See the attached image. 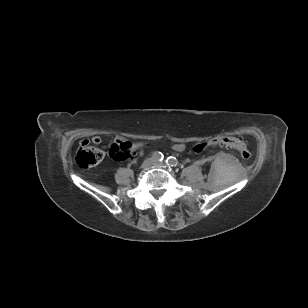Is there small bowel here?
I'll use <instances>...</instances> for the list:
<instances>
[{
  "label": "small bowel",
  "mask_w": 308,
  "mask_h": 308,
  "mask_svg": "<svg viewBox=\"0 0 308 308\" xmlns=\"http://www.w3.org/2000/svg\"><path fill=\"white\" fill-rule=\"evenodd\" d=\"M85 140H87V139H85ZM120 140H122V139H120ZM91 141H92L93 144L99 145L102 142V139H101V137L99 135H96V136L92 137ZM123 141L127 142L125 140H123ZM185 148L186 147H185L184 143H175V144L172 145V149L177 151V152H182V151L185 150ZM142 149H143V147H141V149L138 151L139 154H142Z\"/></svg>",
  "instance_id": "obj_1"
}]
</instances>
